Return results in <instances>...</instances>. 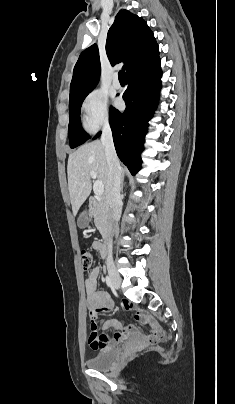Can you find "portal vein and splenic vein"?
<instances>
[{
    "instance_id": "portal-vein-and-splenic-vein-1",
    "label": "portal vein and splenic vein",
    "mask_w": 235,
    "mask_h": 404,
    "mask_svg": "<svg viewBox=\"0 0 235 404\" xmlns=\"http://www.w3.org/2000/svg\"><path fill=\"white\" fill-rule=\"evenodd\" d=\"M90 176L92 179L96 180L97 175L94 171H90ZM93 191L96 196H101L104 192V185L101 181L96 180L93 185Z\"/></svg>"
}]
</instances>
